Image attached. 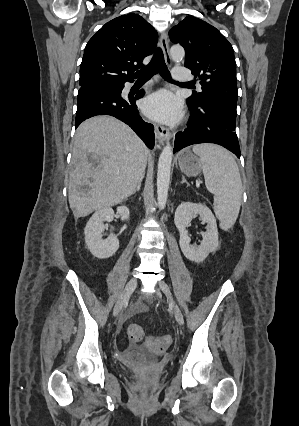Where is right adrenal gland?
Here are the masks:
<instances>
[{
  "mask_svg": "<svg viewBox=\"0 0 299 426\" xmlns=\"http://www.w3.org/2000/svg\"><path fill=\"white\" fill-rule=\"evenodd\" d=\"M144 177H145V174H144V175L140 178V180L138 181V184H137L136 188L134 189L133 194H135L136 192H138V191L140 190V188H141V184H142V181H143Z\"/></svg>",
  "mask_w": 299,
  "mask_h": 426,
  "instance_id": "obj_1",
  "label": "right adrenal gland"
}]
</instances>
